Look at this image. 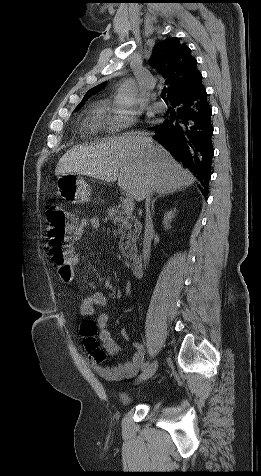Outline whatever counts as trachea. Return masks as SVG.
<instances>
[{
    "label": "trachea",
    "mask_w": 261,
    "mask_h": 476,
    "mask_svg": "<svg viewBox=\"0 0 261 476\" xmlns=\"http://www.w3.org/2000/svg\"><path fill=\"white\" fill-rule=\"evenodd\" d=\"M161 97H162V99H164V100H165V97H166V91H162V92H161Z\"/></svg>",
    "instance_id": "1"
}]
</instances>
